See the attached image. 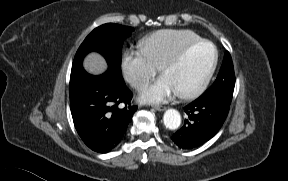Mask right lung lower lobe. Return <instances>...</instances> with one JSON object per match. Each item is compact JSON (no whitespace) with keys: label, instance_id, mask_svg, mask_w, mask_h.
I'll use <instances>...</instances> for the list:
<instances>
[{"label":"right lung lower lobe","instance_id":"98d812e1","mask_svg":"<svg viewBox=\"0 0 288 181\" xmlns=\"http://www.w3.org/2000/svg\"><path fill=\"white\" fill-rule=\"evenodd\" d=\"M124 80L108 71L99 76L84 69L70 80V105L75 128L93 151L107 153L124 137L137 106Z\"/></svg>","mask_w":288,"mask_h":181}]
</instances>
